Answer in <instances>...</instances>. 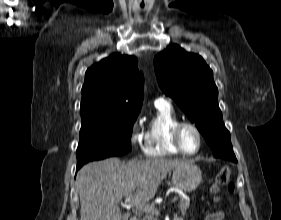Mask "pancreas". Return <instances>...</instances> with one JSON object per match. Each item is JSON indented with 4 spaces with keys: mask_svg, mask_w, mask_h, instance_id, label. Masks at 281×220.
Wrapping results in <instances>:
<instances>
[{
    "mask_svg": "<svg viewBox=\"0 0 281 220\" xmlns=\"http://www.w3.org/2000/svg\"><path fill=\"white\" fill-rule=\"evenodd\" d=\"M179 198H180V200H179L178 207H179L181 213L184 215L186 213L187 209L189 208L190 201H189V199H186L182 196H179ZM154 214H155V217H154ZM157 216H158V214L152 213V214L147 215L146 219L157 220ZM146 219H144V220H146Z\"/></svg>",
    "mask_w": 281,
    "mask_h": 220,
    "instance_id": "pancreas-1",
    "label": "pancreas"
}]
</instances>
